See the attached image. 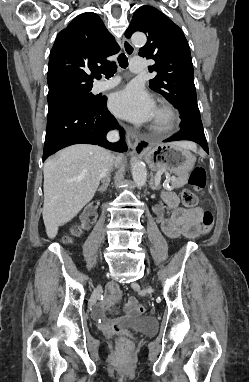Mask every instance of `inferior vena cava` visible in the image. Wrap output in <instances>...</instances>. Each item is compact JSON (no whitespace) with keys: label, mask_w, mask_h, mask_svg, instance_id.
Returning <instances> with one entry per match:
<instances>
[{"label":"inferior vena cava","mask_w":249,"mask_h":382,"mask_svg":"<svg viewBox=\"0 0 249 382\" xmlns=\"http://www.w3.org/2000/svg\"><path fill=\"white\" fill-rule=\"evenodd\" d=\"M107 139L111 142L118 141L119 140V132L117 130H112V131L108 132ZM114 160H115L114 156L108 152L107 166L101 174V177L103 178V182L105 181V178H107V179L109 178V171H110V169L114 163Z\"/></svg>","instance_id":"obj_1"}]
</instances>
